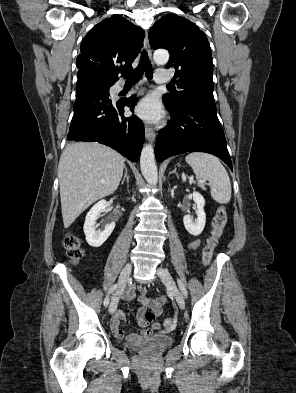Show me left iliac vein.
Segmentation results:
<instances>
[{
	"label": "left iliac vein",
	"mask_w": 296,
	"mask_h": 393,
	"mask_svg": "<svg viewBox=\"0 0 296 393\" xmlns=\"http://www.w3.org/2000/svg\"><path fill=\"white\" fill-rule=\"evenodd\" d=\"M157 275L161 278V280L163 281L165 286L168 288L169 292L174 296V298L177 301L178 306L181 309H184V307H185L184 297L181 294V292L179 291V289L177 288L176 283H175L173 277L171 276V274L169 273V271L164 268L159 267V268H157Z\"/></svg>",
	"instance_id": "4c4485c4"
}]
</instances>
